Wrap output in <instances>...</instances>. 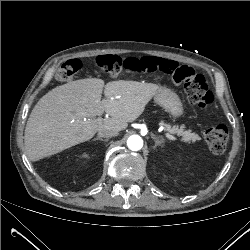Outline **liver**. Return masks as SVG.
Here are the masks:
<instances>
[{
    "instance_id": "liver-1",
    "label": "liver",
    "mask_w": 250,
    "mask_h": 250,
    "mask_svg": "<svg viewBox=\"0 0 250 250\" xmlns=\"http://www.w3.org/2000/svg\"><path fill=\"white\" fill-rule=\"evenodd\" d=\"M159 88L124 80L105 85L98 78L57 86L37 102L28 118L24 143L29 159L38 161L88 141L101 129H126L144 112ZM103 112L110 118L101 119Z\"/></svg>"
}]
</instances>
